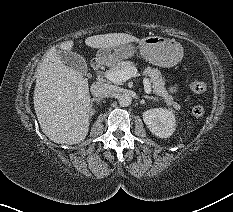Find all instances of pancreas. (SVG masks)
<instances>
[{
    "instance_id": "pancreas-1",
    "label": "pancreas",
    "mask_w": 233,
    "mask_h": 212,
    "mask_svg": "<svg viewBox=\"0 0 233 212\" xmlns=\"http://www.w3.org/2000/svg\"><path fill=\"white\" fill-rule=\"evenodd\" d=\"M109 65L111 66V71L121 70L126 67L134 66L132 62L126 60H120L116 64L110 63ZM142 74L150 77V85L153 89V92L158 95L164 101V103H166L167 106H172L175 109H180V105L174 102L173 97L167 93L164 87L165 80L158 69H154L148 66L142 71Z\"/></svg>"
}]
</instances>
